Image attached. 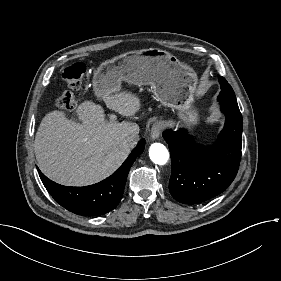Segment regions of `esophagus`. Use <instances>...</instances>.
<instances>
[{"mask_svg": "<svg viewBox=\"0 0 281 281\" xmlns=\"http://www.w3.org/2000/svg\"><path fill=\"white\" fill-rule=\"evenodd\" d=\"M163 124L161 122H155L152 125L150 137L152 140H156L163 130Z\"/></svg>", "mask_w": 281, "mask_h": 281, "instance_id": "1", "label": "esophagus"}]
</instances>
